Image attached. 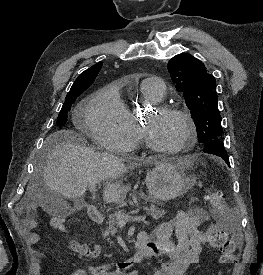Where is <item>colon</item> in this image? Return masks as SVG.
Wrapping results in <instances>:
<instances>
[{
  "label": "colon",
  "instance_id": "obj_1",
  "mask_svg": "<svg viewBox=\"0 0 263 275\" xmlns=\"http://www.w3.org/2000/svg\"><path fill=\"white\" fill-rule=\"evenodd\" d=\"M208 205L215 213H220L225 207L224 195L219 191L210 190L206 196ZM54 227L60 231H65V226H61L60 221L54 222ZM204 241L220 252L219 263L232 266L236 263V246L228 238L227 233L218 226H210L203 234Z\"/></svg>",
  "mask_w": 263,
  "mask_h": 275
}]
</instances>
